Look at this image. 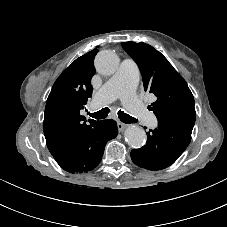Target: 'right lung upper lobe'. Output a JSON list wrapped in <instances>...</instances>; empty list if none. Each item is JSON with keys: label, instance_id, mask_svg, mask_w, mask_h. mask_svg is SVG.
<instances>
[{"label": "right lung upper lobe", "instance_id": "1", "mask_svg": "<svg viewBox=\"0 0 227 227\" xmlns=\"http://www.w3.org/2000/svg\"><path fill=\"white\" fill-rule=\"evenodd\" d=\"M94 49L77 58L55 81L48 96L43 130L50 153L77 139L83 132L99 121L80 115L89 97L92 96L91 78L95 74Z\"/></svg>", "mask_w": 227, "mask_h": 227}]
</instances>
